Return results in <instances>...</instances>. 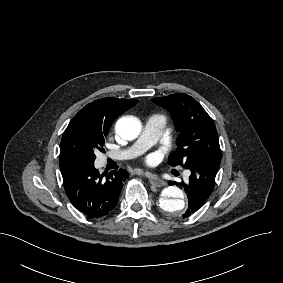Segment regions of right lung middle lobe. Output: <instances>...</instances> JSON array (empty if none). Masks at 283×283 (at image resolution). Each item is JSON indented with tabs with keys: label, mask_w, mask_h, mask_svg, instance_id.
I'll return each mask as SVG.
<instances>
[{
	"label": "right lung middle lobe",
	"mask_w": 283,
	"mask_h": 283,
	"mask_svg": "<svg viewBox=\"0 0 283 283\" xmlns=\"http://www.w3.org/2000/svg\"><path fill=\"white\" fill-rule=\"evenodd\" d=\"M108 131L98 125L70 122L60 144V168L73 163H93L94 151L103 150Z\"/></svg>",
	"instance_id": "right-lung-middle-lobe-1"
}]
</instances>
